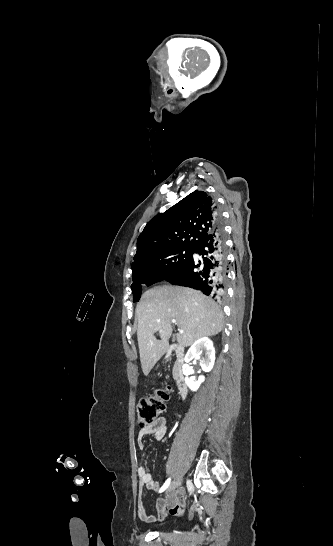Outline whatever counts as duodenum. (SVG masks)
<instances>
[{
  "label": "duodenum",
  "mask_w": 333,
  "mask_h": 546,
  "mask_svg": "<svg viewBox=\"0 0 333 546\" xmlns=\"http://www.w3.org/2000/svg\"><path fill=\"white\" fill-rule=\"evenodd\" d=\"M171 354L175 358V364L173 367V377L175 380L176 388L178 391V394L181 397H185L188 391L184 372H183V365H184V349L182 346L174 345L171 347Z\"/></svg>",
  "instance_id": "410a0bca"
}]
</instances>
